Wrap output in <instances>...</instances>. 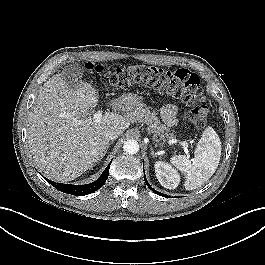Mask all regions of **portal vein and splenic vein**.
Listing matches in <instances>:
<instances>
[{"label": "portal vein and splenic vein", "instance_id": "18ae733b", "mask_svg": "<svg viewBox=\"0 0 265 265\" xmlns=\"http://www.w3.org/2000/svg\"><path fill=\"white\" fill-rule=\"evenodd\" d=\"M102 118V111H97L92 118L87 119L86 121L93 120L94 122H100ZM183 147L187 148V145L184 142L180 143Z\"/></svg>", "mask_w": 265, "mask_h": 265}]
</instances>
